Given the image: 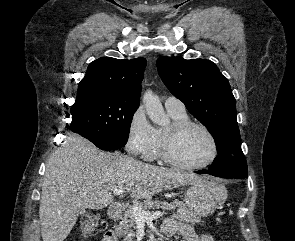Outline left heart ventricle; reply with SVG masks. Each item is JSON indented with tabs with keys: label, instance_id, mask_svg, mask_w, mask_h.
<instances>
[{
	"label": "left heart ventricle",
	"instance_id": "obj_1",
	"mask_svg": "<svg viewBox=\"0 0 295 241\" xmlns=\"http://www.w3.org/2000/svg\"><path fill=\"white\" fill-rule=\"evenodd\" d=\"M171 151L183 163L200 164L211 156L212 143L202 130L191 127L174 138Z\"/></svg>",
	"mask_w": 295,
	"mask_h": 241
}]
</instances>
